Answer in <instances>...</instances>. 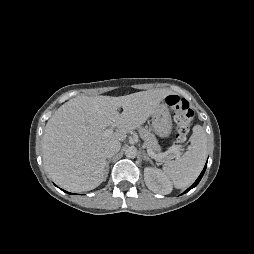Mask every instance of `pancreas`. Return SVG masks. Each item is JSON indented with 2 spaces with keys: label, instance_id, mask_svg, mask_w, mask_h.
I'll return each mask as SVG.
<instances>
[{
  "label": "pancreas",
  "instance_id": "pancreas-1",
  "mask_svg": "<svg viewBox=\"0 0 254 254\" xmlns=\"http://www.w3.org/2000/svg\"><path fill=\"white\" fill-rule=\"evenodd\" d=\"M139 134L141 138L144 139V144L146 145L147 148H149L154 153L160 152V146L158 145L157 139L154 136V134L150 132L149 129L139 128ZM160 161H165V159H161Z\"/></svg>",
  "mask_w": 254,
  "mask_h": 254
}]
</instances>
